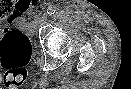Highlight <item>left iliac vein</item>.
<instances>
[{
	"instance_id": "obj_1",
	"label": "left iliac vein",
	"mask_w": 131,
	"mask_h": 89,
	"mask_svg": "<svg viewBox=\"0 0 131 89\" xmlns=\"http://www.w3.org/2000/svg\"><path fill=\"white\" fill-rule=\"evenodd\" d=\"M47 19H48V15H47V13H44V14L40 17V19H39V24L41 25V24L45 23V22L47 21Z\"/></svg>"
}]
</instances>
